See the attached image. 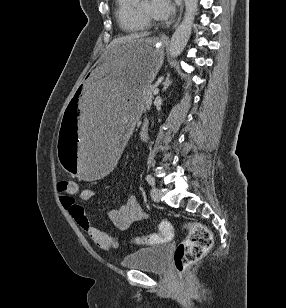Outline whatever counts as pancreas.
Masks as SVG:
<instances>
[{
    "instance_id": "1",
    "label": "pancreas",
    "mask_w": 286,
    "mask_h": 308,
    "mask_svg": "<svg viewBox=\"0 0 286 308\" xmlns=\"http://www.w3.org/2000/svg\"><path fill=\"white\" fill-rule=\"evenodd\" d=\"M153 87L146 86L142 92V97L145 100V106L149 108L152 104L153 94H152Z\"/></svg>"
}]
</instances>
